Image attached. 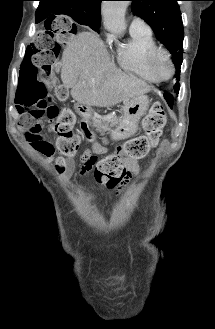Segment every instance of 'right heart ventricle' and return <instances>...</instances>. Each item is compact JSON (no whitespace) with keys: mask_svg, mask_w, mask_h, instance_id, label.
Masks as SVG:
<instances>
[{"mask_svg":"<svg viewBox=\"0 0 215 329\" xmlns=\"http://www.w3.org/2000/svg\"><path fill=\"white\" fill-rule=\"evenodd\" d=\"M158 48L151 32H130V39L116 49V61L124 71L158 83L160 81L149 68V57Z\"/></svg>","mask_w":215,"mask_h":329,"instance_id":"obj_1","label":"right heart ventricle"}]
</instances>
